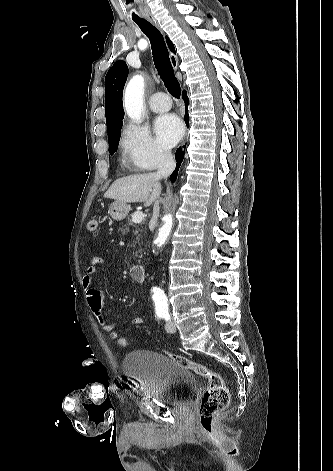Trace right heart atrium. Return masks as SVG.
<instances>
[{"label": "right heart atrium", "mask_w": 333, "mask_h": 471, "mask_svg": "<svg viewBox=\"0 0 333 471\" xmlns=\"http://www.w3.org/2000/svg\"><path fill=\"white\" fill-rule=\"evenodd\" d=\"M120 148L125 164L134 170H154L171 160L170 152L153 137L150 130L135 122L123 126Z\"/></svg>", "instance_id": "obj_1"}]
</instances>
